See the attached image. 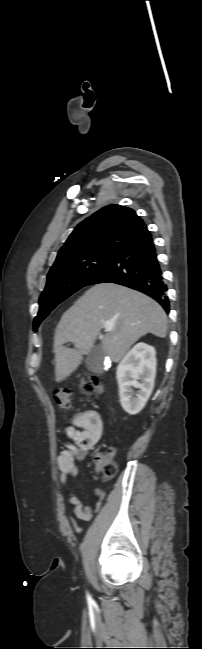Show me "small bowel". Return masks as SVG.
Instances as JSON below:
<instances>
[{"mask_svg":"<svg viewBox=\"0 0 202 649\" xmlns=\"http://www.w3.org/2000/svg\"><path fill=\"white\" fill-rule=\"evenodd\" d=\"M63 433L67 437V442L64 450L58 456L60 482L68 487V502L74 506V516L69 514L68 518L71 521L72 528L77 533H80L82 529L76 522L75 517L80 520L90 521L100 509L105 492L100 488H95L96 500L89 505H84L69 485V481L78 475L77 463L83 460L102 438L104 423L97 412L86 410L74 415L71 422L64 426ZM99 473L100 470L96 467L95 480L99 479Z\"/></svg>","mask_w":202,"mask_h":649,"instance_id":"obj_1","label":"small bowel"}]
</instances>
